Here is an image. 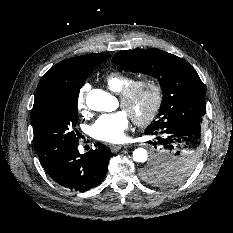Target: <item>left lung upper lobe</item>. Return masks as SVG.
<instances>
[{"instance_id": "left-lung-upper-lobe-1", "label": "left lung upper lobe", "mask_w": 233, "mask_h": 233, "mask_svg": "<svg viewBox=\"0 0 233 233\" xmlns=\"http://www.w3.org/2000/svg\"><path fill=\"white\" fill-rule=\"evenodd\" d=\"M126 70L159 79L163 100L158 118L149 128L180 118H202L206 112L203 83L186 60L159 49L127 50L112 59ZM200 156L182 155L167 163L150 162L142 170V178L151 184L174 185L185 181L194 171Z\"/></svg>"}]
</instances>
